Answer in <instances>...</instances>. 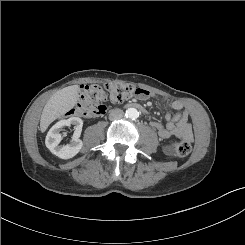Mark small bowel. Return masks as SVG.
<instances>
[{
    "mask_svg": "<svg viewBox=\"0 0 245 245\" xmlns=\"http://www.w3.org/2000/svg\"><path fill=\"white\" fill-rule=\"evenodd\" d=\"M145 94L137 95L141 100H147L152 98V93L144 90ZM166 100V99H165ZM172 110L177 111L176 114H172ZM167 124L162 125L158 122H151V126L156 129L159 137L167 139L172 136H176L182 140H191L193 137L192 127L189 123V116L186 110H184L183 104L175 101L172 102L166 112Z\"/></svg>",
    "mask_w": 245,
    "mask_h": 245,
    "instance_id": "1",
    "label": "small bowel"
}]
</instances>
